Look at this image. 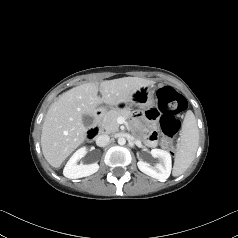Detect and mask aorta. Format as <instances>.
Masks as SVG:
<instances>
[{
	"label": "aorta",
	"mask_w": 238,
	"mask_h": 238,
	"mask_svg": "<svg viewBox=\"0 0 238 238\" xmlns=\"http://www.w3.org/2000/svg\"><path fill=\"white\" fill-rule=\"evenodd\" d=\"M126 143V139L124 137H119L118 138V144L119 145H125Z\"/></svg>",
	"instance_id": "obj_1"
}]
</instances>
